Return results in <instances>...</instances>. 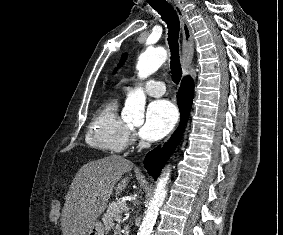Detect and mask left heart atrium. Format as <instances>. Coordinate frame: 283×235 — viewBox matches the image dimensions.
I'll return each mask as SVG.
<instances>
[{
    "label": "left heart atrium",
    "instance_id": "1",
    "mask_svg": "<svg viewBox=\"0 0 283 235\" xmlns=\"http://www.w3.org/2000/svg\"><path fill=\"white\" fill-rule=\"evenodd\" d=\"M176 121L177 111L172 103L167 100L153 101L147 108L140 136L149 141L158 140L172 130Z\"/></svg>",
    "mask_w": 283,
    "mask_h": 235
}]
</instances>
